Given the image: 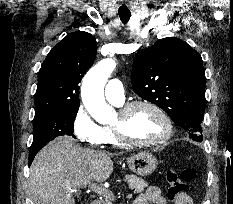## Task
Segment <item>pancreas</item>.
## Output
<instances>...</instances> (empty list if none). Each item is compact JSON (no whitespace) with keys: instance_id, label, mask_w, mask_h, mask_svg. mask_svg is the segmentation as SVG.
Returning a JSON list of instances; mask_svg holds the SVG:
<instances>
[{"instance_id":"1","label":"pancreas","mask_w":233,"mask_h":204,"mask_svg":"<svg viewBox=\"0 0 233 204\" xmlns=\"http://www.w3.org/2000/svg\"><path fill=\"white\" fill-rule=\"evenodd\" d=\"M125 181H127L129 188L133 190L134 193H141L146 187H148V183L146 181L135 175H126ZM112 201H114V196L106 197L102 204H113Z\"/></svg>"}]
</instances>
